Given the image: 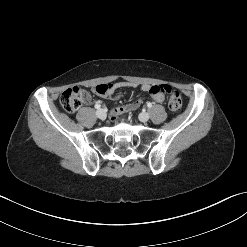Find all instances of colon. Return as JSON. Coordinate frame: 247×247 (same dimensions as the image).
<instances>
[{
  "label": "colon",
  "mask_w": 247,
  "mask_h": 247,
  "mask_svg": "<svg viewBox=\"0 0 247 247\" xmlns=\"http://www.w3.org/2000/svg\"><path fill=\"white\" fill-rule=\"evenodd\" d=\"M109 89V84H100L92 88V91L96 94L103 95ZM150 101L160 104L166 100L168 96V107L170 111L176 113L180 111L182 107L181 95L177 90H173L167 84H156L148 91ZM87 92L82 87H73L65 90L60 97V104L62 108L73 113L80 108L85 101ZM145 99L142 96H138L135 100H126L123 104H117L114 114H121V112H134L142 107Z\"/></svg>",
  "instance_id": "5ec220e1"
}]
</instances>
